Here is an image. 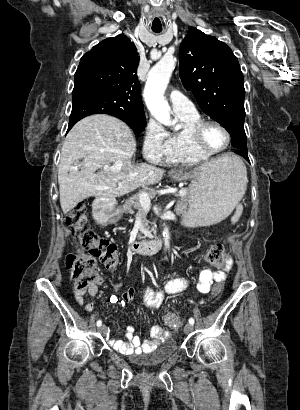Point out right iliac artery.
<instances>
[{"label":"right iliac artery","mask_w":300,"mask_h":410,"mask_svg":"<svg viewBox=\"0 0 300 410\" xmlns=\"http://www.w3.org/2000/svg\"><path fill=\"white\" fill-rule=\"evenodd\" d=\"M102 325V321L101 320H98L97 321V326L99 327V326H101Z\"/></svg>","instance_id":"1"}]
</instances>
